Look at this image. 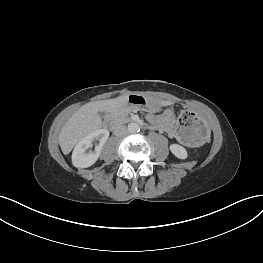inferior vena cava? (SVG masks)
Segmentation results:
<instances>
[{
    "label": "inferior vena cava",
    "instance_id": "obj_1",
    "mask_svg": "<svg viewBox=\"0 0 263 263\" xmlns=\"http://www.w3.org/2000/svg\"><path fill=\"white\" fill-rule=\"evenodd\" d=\"M127 132H128V130H127L126 126H124V125L117 126L114 129V134L116 136H119V137L125 136L127 134Z\"/></svg>",
    "mask_w": 263,
    "mask_h": 263
}]
</instances>
